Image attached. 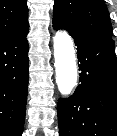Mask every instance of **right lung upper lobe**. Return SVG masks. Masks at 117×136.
I'll return each instance as SVG.
<instances>
[{
    "label": "right lung upper lobe",
    "instance_id": "right-lung-upper-lobe-1",
    "mask_svg": "<svg viewBox=\"0 0 117 136\" xmlns=\"http://www.w3.org/2000/svg\"><path fill=\"white\" fill-rule=\"evenodd\" d=\"M28 26L27 0H0V40Z\"/></svg>",
    "mask_w": 117,
    "mask_h": 136
}]
</instances>
